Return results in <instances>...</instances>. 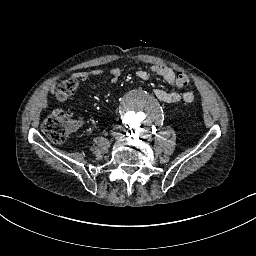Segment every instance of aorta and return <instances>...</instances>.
<instances>
[{"label": "aorta", "mask_w": 256, "mask_h": 256, "mask_svg": "<svg viewBox=\"0 0 256 256\" xmlns=\"http://www.w3.org/2000/svg\"><path fill=\"white\" fill-rule=\"evenodd\" d=\"M121 113L129 125L136 128H145L157 120L160 113V104L152 92L145 89H136L124 97L121 104Z\"/></svg>", "instance_id": "762f6f07"}]
</instances>
